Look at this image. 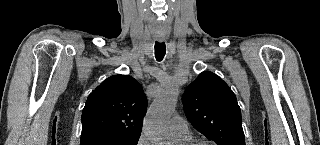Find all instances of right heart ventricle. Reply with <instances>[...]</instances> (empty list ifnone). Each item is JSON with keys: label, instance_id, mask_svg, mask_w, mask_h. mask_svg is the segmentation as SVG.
I'll return each mask as SVG.
<instances>
[{"label": "right heart ventricle", "instance_id": "obj_1", "mask_svg": "<svg viewBox=\"0 0 320 145\" xmlns=\"http://www.w3.org/2000/svg\"><path fill=\"white\" fill-rule=\"evenodd\" d=\"M178 139H179V141H181V142H183V143L190 141V137H187V138H178Z\"/></svg>", "mask_w": 320, "mask_h": 145}]
</instances>
